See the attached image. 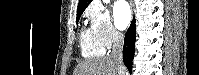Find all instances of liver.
<instances>
[{"mask_svg": "<svg viewBox=\"0 0 199 75\" xmlns=\"http://www.w3.org/2000/svg\"><path fill=\"white\" fill-rule=\"evenodd\" d=\"M74 75H118L117 64L111 56L85 60L77 66Z\"/></svg>", "mask_w": 199, "mask_h": 75, "instance_id": "obj_1", "label": "liver"}]
</instances>
